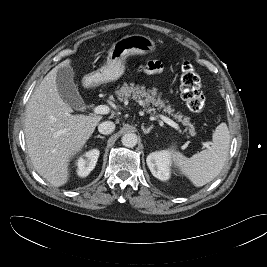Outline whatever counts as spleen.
<instances>
[{
  "instance_id": "3e777b00",
  "label": "spleen",
  "mask_w": 267,
  "mask_h": 267,
  "mask_svg": "<svg viewBox=\"0 0 267 267\" xmlns=\"http://www.w3.org/2000/svg\"><path fill=\"white\" fill-rule=\"evenodd\" d=\"M230 134L225 123L215 129L212 146L187 158L180 152L171 154L174 166L196 187H201L219 175L228 157Z\"/></svg>"
}]
</instances>
